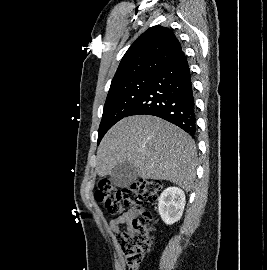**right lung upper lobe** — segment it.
<instances>
[{
	"mask_svg": "<svg viewBox=\"0 0 267 270\" xmlns=\"http://www.w3.org/2000/svg\"><path fill=\"white\" fill-rule=\"evenodd\" d=\"M181 51V45L171 29L153 26L129 47L111 82L113 88L142 75H155Z\"/></svg>",
	"mask_w": 267,
	"mask_h": 270,
	"instance_id": "right-lung-upper-lobe-1",
	"label": "right lung upper lobe"
}]
</instances>
